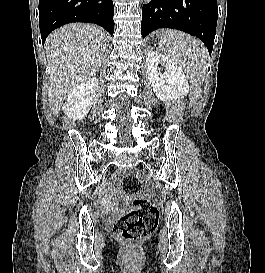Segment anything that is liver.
Segmentation results:
<instances>
[{
    "instance_id": "1",
    "label": "liver",
    "mask_w": 265,
    "mask_h": 273,
    "mask_svg": "<svg viewBox=\"0 0 265 273\" xmlns=\"http://www.w3.org/2000/svg\"><path fill=\"white\" fill-rule=\"evenodd\" d=\"M109 46L106 32L85 23L64 25L49 35L45 43L49 61V102L54 115L80 83L96 75Z\"/></svg>"
}]
</instances>
